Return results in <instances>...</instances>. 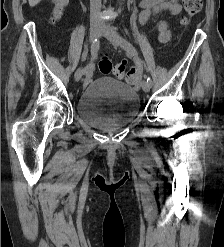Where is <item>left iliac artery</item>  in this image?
Returning a JSON list of instances; mask_svg holds the SVG:
<instances>
[{
  "label": "left iliac artery",
  "mask_w": 224,
  "mask_h": 247,
  "mask_svg": "<svg viewBox=\"0 0 224 247\" xmlns=\"http://www.w3.org/2000/svg\"><path fill=\"white\" fill-rule=\"evenodd\" d=\"M122 47L131 55L136 56L137 55V51L136 49L133 47V45L131 43H129L127 40L122 38ZM147 78V82L152 86L153 82L151 80V78L149 76L146 77Z\"/></svg>",
  "instance_id": "left-iliac-artery-1"
}]
</instances>
